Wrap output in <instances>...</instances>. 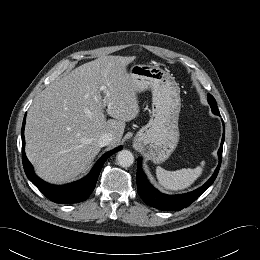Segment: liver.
<instances>
[{"mask_svg": "<svg viewBox=\"0 0 260 260\" xmlns=\"http://www.w3.org/2000/svg\"><path fill=\"white\" fill-rule=\"evenodd\" d=\"M135 56H104L85 63L47 86L26 119V155L43 180L61 184L86 172L100 152L99 137L120 143L125 123L139 113L127 65ZM105 86L104 90H100ZM113 119L106 120L104 108Z\"/></svg>", "mask_w": 260, "mask_h": 260, "instance_id": "obj_1", "label": "liver"}]
</instances>
